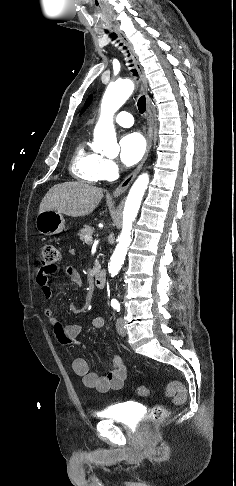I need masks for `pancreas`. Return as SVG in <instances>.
Wrapping results in <instances>:
<instances>
[{
	"label": "pancreas",
	"instance_id": "1",
	"mask_svg": "<svg viewBox=\"0 0 236 486\" xmlns=\"http://www.w3.org/2000/svg\"><path fill=\"white\" fill-rule=\"evenodd\" d=\"M92 234H93V229L90 226L85 225L84 228L79 231L78 236L81 241H85V236H91ZM86 243L90 244L91 242H86Z\"/></svg>",
	"mask_w": 236,
	"mask_h": 486
}]
</instances>
